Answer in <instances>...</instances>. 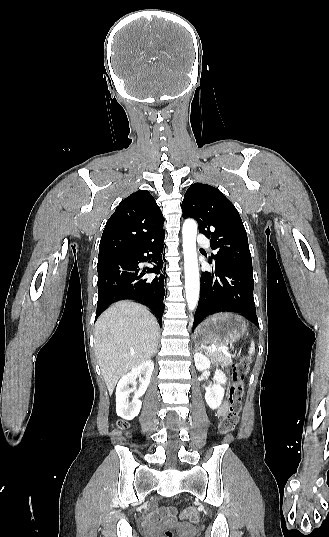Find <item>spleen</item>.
<instances>
[{"instance_id":"1","label":"spleen","mask_w":329,"mask_h":537,"mask_svg":"<svg viewBox=\"0 0 329 537\" xmlns=\"http://www.w3.org/2000/svg\"><path fill=\"white\" fill-rule=\"evenodd\" d=\"M255 353V344L253 341H251V345H250V348H249V354L252 355Z\"/></svg>"}]
</instances>
